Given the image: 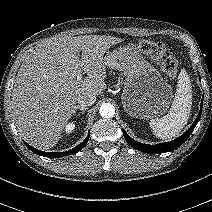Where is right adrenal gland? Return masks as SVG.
<instances>
[{"label": "right adrenal gland", "mask_w": 212, "mask_h": 212, "mask_svg": "<svg viewBox=\"0 0 212 212\" xmlns=\"http://www.w3.org/2000/svg\"><path fill=\"white\" fill-rule=\"evenodd\" d=\"M80 109L81 113L84 114L85 110L87 109V107H83V106H76L75 111H74V115H76L77 110Z\"/></svg>", "instance_id": "1"}]
</instances>
